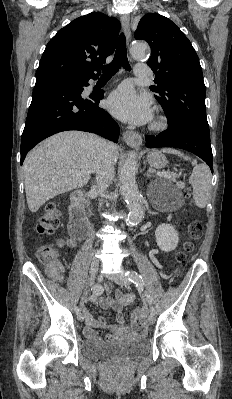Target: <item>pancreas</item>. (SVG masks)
<instances>
[{
  "mask_svg": "<svg viewBox=\"0 0 232 399\" xmlns=\"http://www.w3.org/2000/svg\"><path fill=\"white\" fill-rule=\"evenodd\" d=\"M160 178H165L168 182H177V174H171V172H167L166 176H160Z\"/></svg>",
  "mask_w": 232,
  "mask_h": 399,
  "instance_id": "obj_1",
  "label": "pancreas"
}]
</instances>
